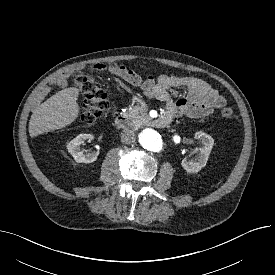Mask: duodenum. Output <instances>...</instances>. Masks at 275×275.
<instances>
[{
	"label": "duodenum",
	"instance_id": "410a0bca",
	"mask_svg": "<svg viewBox=\"0 0 275 275\" xmlns=\"http://www.w3.org/2000/svg\"><path fill=\"white\" fill-rule=\"evenodd\" d=\"M171 117L168 115H163L160 116L158 118H155L151 121V124L154 127H158V128H163L165 127L167 124L170 123L171 121ZM129 124V119L123 115H118L115 117L114 119V125L118 128V129H124L125 127H127V125Z\"/></svg>",
	"mask_w": 275,
	"mask_h": 275
}]
</instances>
